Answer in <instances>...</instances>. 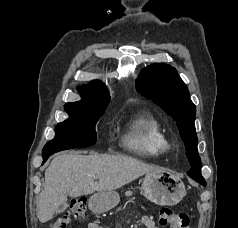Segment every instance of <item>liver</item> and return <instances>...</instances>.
Segmentation results:
<instances>
[{
    "mask_svg": "<svg viewBox=\"0 0 238 228\" xmlns=\"http://www.w3.org/2000/svg\"><path fill=\"white\" fill-rule=\"evenodd\" d=\"M161 171L124 155L63 153L45 171L44 189L37 201L38 219L41 223L51 220L68 195L113 191L144 174Z\"/></svg>",
    "mask_w": 238,
    "mask_h": 228,
    "instance_id": "obj_1",
    "label": "liver"
}]
</instances>
